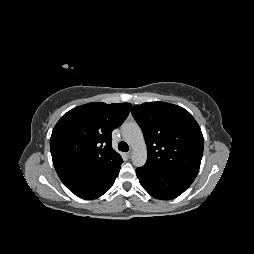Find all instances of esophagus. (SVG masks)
Returning <instances> with one entry per match:
<instances>
[{
  "label": "esophagus",
  "instance_id": "esophagus-1",
  "mask_svg": "<svg viewBox=\"0 0 254 254\" xmlns=\"http://www.w3.org/2000/svg\"><path fill=\"white\" fill-rule=\"evenodd\" d=\"M127 156H128V158H131V156H132V151L127 152Z\"/></svg>",
  "mask_w": 254,
  "mask_h": 254
}]
</instances>
